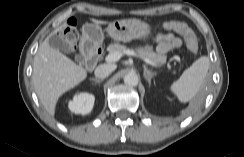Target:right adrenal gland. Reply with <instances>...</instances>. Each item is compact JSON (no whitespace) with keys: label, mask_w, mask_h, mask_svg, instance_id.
<instances>
[{"label":"right adrenal gland","mask_w":244,"mask_h":157,"mask_svg":"<svg viewBox=\"0 0 244 157\" xmlns=\"http://www.w3.org/2000/svg\"><path fill=\"white\" fill-rule=\"evenodd\" d=\"M92 81L96 82V83H101L103 82V79H98V78H91Z\"/></svg>","instance_id":"obj_1"}]
</instances>
